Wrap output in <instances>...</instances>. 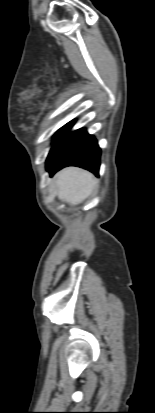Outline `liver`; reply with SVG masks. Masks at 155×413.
<instances>
[{
    "mask_svg": "<svg viewBox=\"0 0 155 413\" xmlns=\"http://www.w3.org/2000/svg\"><path fill=\"white\" fill-rule=\"evenodd\" d=\"M96 184V179L90 172L76 167H67L56 175L58 198L70 205L82 203Z\"/></svg>",
    "mask_w": 155,
    "mask_h": 413,
    "instance_id": "liver-1",
    "label": "liver"
}]
</instances>
